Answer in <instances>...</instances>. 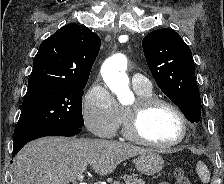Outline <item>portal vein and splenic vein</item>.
Wrapping results in <instances>:
<instances>
[{
	"label": "portal vein and splenic vein",
	"instance_id": "obj_1",
	"mask_svg": "<svg viewBox=\"0 0 224 184\" xmlns=\"http://www.w3.org/2000/svg\"><path fill=\"white\" fill-rule=\"evenodd\" d=\"M77 179H78V181L80 182L79 184H85V183H83V179H84V175H83V173L79 174V175L77 176Z\"/></svg>",
	"mask_w": 224,
	"mask_h": 184
}]
</instances>
